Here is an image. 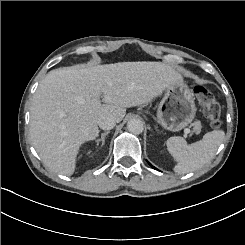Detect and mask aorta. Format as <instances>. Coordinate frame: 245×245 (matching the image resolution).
Listing matches in <instances>:
<instances>
[{
  "label": "aorta",
  "mask_w": 245,
  "mask_h": 245,
  "mask_svg": "<svg viewBox=\"0 0 245 245\" xmlns=\"http://www.w3.org/2000/svg\"><path fill=\"white\" fill-rule=\"evenodd\" d=\"M127 129L130 133L141 134L144 129L143 122L137 118H132L127 123Z\"/></svg>",
  "instance_id": "obj_1"
}]
</instances>
